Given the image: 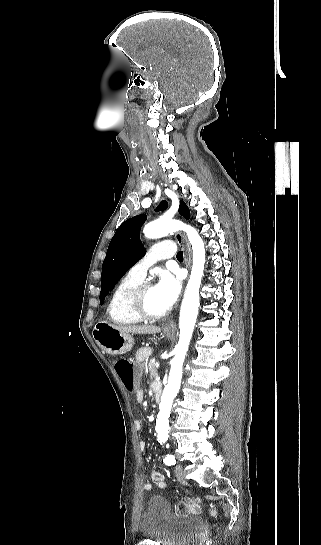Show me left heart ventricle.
Here are the masks:
<instances>
[{"mask_svg": "<svg viewBox=\"0 0 321 545\" xmlns=\"http://www.w3.org/2000/svg\"><path fill=\"white\" fill-rule=\"evenodd\" d=\"M142 305L146 311L151 313L161 314L166 312L159 300L157 299L153 287H150L144 292L142 296Z\"/></svg>", "mask_w": 321, "mask_h": 545, "instance_id": "obj_1", "label": "left heart ventricle"}]
</instances>
